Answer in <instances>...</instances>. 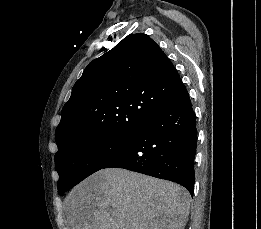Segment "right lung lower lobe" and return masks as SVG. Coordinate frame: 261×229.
<instances>
[{
  "label": "right lung lower lobe",
  "mask_w": 261,
  "mask_h": 229,
  "mask_svg": "<svg viewBox=\"0 0 261 229\" xmlns=\"http://www.w3.org/2000/svg\"><path fill=\"white\" fill-rule=\"evenodd\" d=\"M196 116L184 85L103 168H124L173 181L193 195Z\"/></svg>",
  "instance_id": "obj_1"
}]
</instances>
